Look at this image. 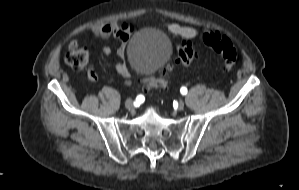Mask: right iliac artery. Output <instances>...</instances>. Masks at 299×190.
Listing matches in <instances>:
<instances>
[{"instance_id": "1", "label": "right iliac artery", "mask_w": 299, "mask_h": 190, "mask_svg": "<svg viewBox=\"0 0 299 190\" xmlns=\"http://www.w3.org/2000/svg\"><path fill=\"white\" fill-rule=\"evenodd\" d=\"M144 100V96L143 95H139V96H137V98H136V102H141V101H143Z\"/></svg>"}]
</instances>
